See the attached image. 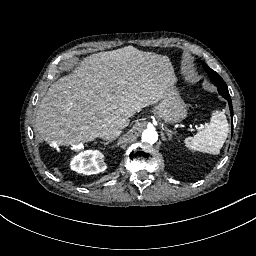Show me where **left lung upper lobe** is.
<instances>
[{
    "mask_svg": "<svg viewBox=\"0 0 256 256\" xmlns=\"http://www.w3.org/2000/svg\"><path fill=\"white\" fill-rule=\"evenodd\" d=\"M203 66H204L206 72L209 74V76H210L212 82L214 83V85L217 86L219 93L225 99L228 100L230 113H231V116H232V119H233L232 102H231V99H230V95H229V92H228L227 85L224 83L223 79L214 70H212L208 67V65L203 64ZM232 130H233V127H232Z\"/></svg>",
    "mask_w": 256,
    "mask_h": 256,
    "instance_id": "obj_1",
    "label": "left lung upper lobe"
}]
</instances>
